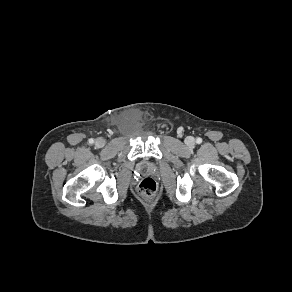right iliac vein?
Wrapping results in <instances>:
<instances>
[{"label": "right iliac vein", "mask_w": 292, "mask_h": 292, "mask_svg": "<svg viewBox=\"0 0 292 292\" xmlns=\"http://www.w3.org/2000/svg\"><path fill=\"white\" fill-rule=\"evenodd\" d=\"M105 139H103V138H97L96 139V141H95V145L98 147V148H102V147H104V145H105Z\"/></svg>", "instance_id": "1"}]
</instances>
